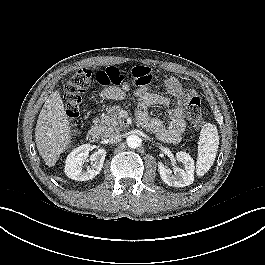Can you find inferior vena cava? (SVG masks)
<instances>
[{"mask_svg":"<svg viewBox=\"0 0 265 265\" xmlns=\"http://www.w3.org/2000/svg\"><path fill=\"white\" fill-rule=\"evenodd\" d=\"M121 138V135L118 133H110L108 135L105 136L104 140L107 143H115L118 142Z\"/></svg>","mask_w":265,"mask_h":265,"instance_id":"inferior-vena-cava-1","label":"inferior vena cava"}]
</instances>
